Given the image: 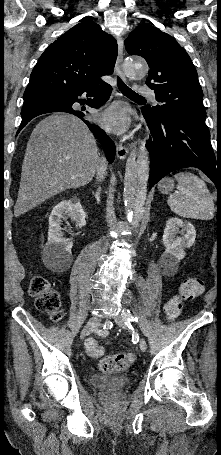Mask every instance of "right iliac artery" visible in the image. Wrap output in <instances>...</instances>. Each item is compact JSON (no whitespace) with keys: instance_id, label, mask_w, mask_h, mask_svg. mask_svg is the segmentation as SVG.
<instances>
[{"instance_id":"right-iliac-artery-1","label":"right iliac artery","mask_w":221,"mask_h":455,"mask_svg":"<svg viewBox=\"0 0 221 455\" xmlns=\"http://www.w3.org/2000/svg\"><path fill=\"white\" fill-rule=\"evenodd\" d=\"M98 336L99 337H108V332H106L104 329H99L98 331Z\"/></svg>"}]
</instances>
